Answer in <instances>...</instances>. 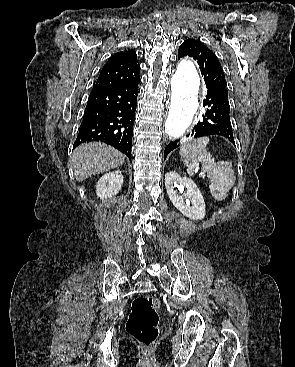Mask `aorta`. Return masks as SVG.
Returning a JSON list of instances; mask_svg holds the SVG:
<instances>
[{"label":"aorta","instance_id":"obj_1","mask_svg":"<svg viewBox=\"0 0 295 367\" xmlns=\"http://www.w3.org/2000/svg\"><path fill=\"white\" fill-rule=\"evenodd\" d=\"M171 104L165 122V133L177 139L190 127L198 108L200 77L194 63L183 59L171 79Z\"/></svg>","mask_w":295,"mask_h":367}]
</instances>
